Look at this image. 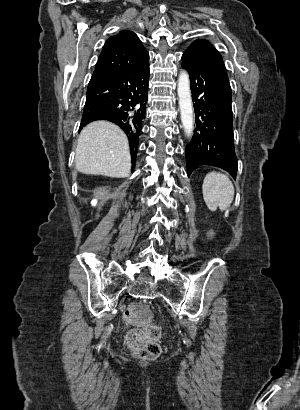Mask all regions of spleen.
<instances>
[{
  "label": "spleen",
  "instance_id": "1",
  "mask_svg": "<svg viewBox=\"0 0 300 410\" xmlns=\"http://www.w3.org/2000/svg\"><path fill=\"white\" fill-rule=\"evenodd\" d=\"M203 198L207 207L215 211L217 207L225 210L234 199V186L230 179L219 172L206 175L202 185Z\"/></svg>",
  "mask_w": 300,
  "mask_h": 410
}]
</instances>
